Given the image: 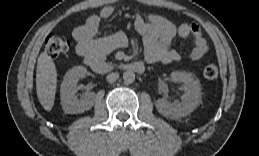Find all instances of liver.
Listing matches in <instances>:
<instances>
[{
  "mask_svg": "<svg viewBox=\"0 0 259 156\" xmlns=\"http://www.w3.org/2000/svg\"><path fill=\"white\" fill-rule=\"evenodd\" d=\"M57 87V71L47 53H41L37 61L36 91L40 104L46 111L53 108Z\"/></svg>",
  "mask_w": 259,
  "mask_h": 156,
  "instance_id": "obj_1",
  "label": "liver"
}]
</instances>
